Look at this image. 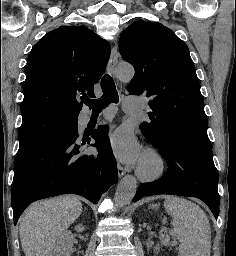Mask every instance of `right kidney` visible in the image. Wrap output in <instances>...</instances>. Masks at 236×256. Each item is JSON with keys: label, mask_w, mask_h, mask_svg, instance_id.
Wrapping results in <instances>:
<instances>
[{"label": "right kidney", "mask_w": 236, "mask_h": 256, "mask_svg": "<svg viewBox=\"0 0 236 256\" xmlns=\"http://www.w3.org/2000/svg\"><path fill=\"white\" fill-rule=\"evenodd\" d=\"M75 230H77V232H83L84 228L81 226V224H79V226H76ZM73 240L74 238L72 232L66 230L62 236V240H60L56 246V250L59 252L57 256H66V254H69L73 246Z\"/></svg>", "instance_id": "right-kidney-1"}]
</instances>
